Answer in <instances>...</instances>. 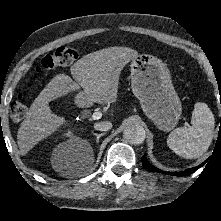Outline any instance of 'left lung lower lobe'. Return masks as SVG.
<instances>
[{
  "label": "left lung lower lobe",
  "mask_w": 221,
  "mask_h": 221,
  "mask_svg": "<svg viewBox=\"0 0 221 221\" xmlns=\"http://www.w3.org/2000/svg\"><path fill=\"white\" fill-rule=\"evenodd\" d=\"M142 164L143 166L150 170V171H153V172H163L161 170H159L158 168L154 167L153 165H151L145 158V155L142 157ZM203 164L197 166V167H194V168H191V169H188L186 171H183V172H176V173H169V172H164L165 174H170V175H176V176H187L189 174H192L193 172H195L197 169H199Z\"/></svg>",
  "instance_id": "1"
}]
</instances>
